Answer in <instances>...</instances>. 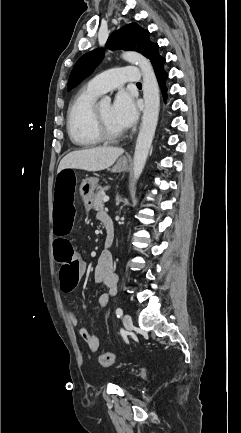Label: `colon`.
Segmentation results:
<instances>
[{
  "instance_id": "5ec220e1",
  "label": "colon",
  "mask_w": 241,
  "mask_h": 433,
  "mask_svg": "<svg viewBox=\"0 0 241 433\" xmlns=\"http://www.w3.org/2000/svg\"><path fill=\"white\" fill-rule=\"evenodd\" d=\"M74 167L72 164L60 165L56 175V182L54 184L55 193L53 196V214L54 228L59 239H54L53 251L55 257L61 264L59 275L61 276V288L65 292L72 291L77 283L80 261L76 255L71 239H66L71 226L73 225L74 209L72 206L73 196L75 194V187L73 181L75 180ZM115 355L107 352L99 356L101 365L108 367L113 364Z\"/></svg>"
}]
</instances>
